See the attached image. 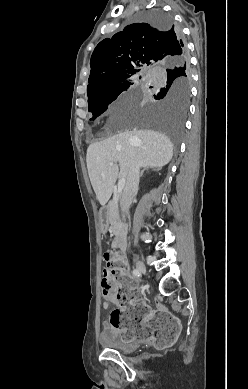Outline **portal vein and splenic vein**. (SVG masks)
<instances>
[{
    "label": "portal vein and splenic vein",
    "instance_id": "1",
    "mask_svg": "<svg viewBox=\"0 0 248 389\" xmlns=\"http://www.w3.org/2000/svg\"><path fill=\"white\" fill-rule=\"evenodd\" d=\"M115 164L114 163H110V166H114ZM125 183H126V179L124 177H122L119 181H118V188H117V193H121L124 186H125Z\"/></svg>",
    "mask_w": 248,
    "mask_h": 389
}]
</instances>
